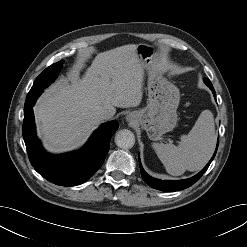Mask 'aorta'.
Returning <instances> with one entry per match:
<instances>
[{"label": "aorta", "instance_id": "aorta-1", "mask_svg": "<svg viewBox=\"0 0 247 247\" xmlns=\"http://www.w3.org/2000/svg\"><path fill=\"white\" fill-rule=\"evenodd\" d=\"M115 143L122 149H130L135 144V136L133 132L128 129L119 130L115 134Z\"/></svg>", "mask_w": 247, "mask_h": 247}]
</instances>
